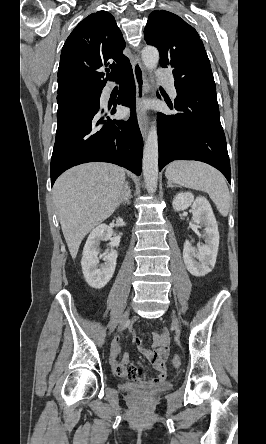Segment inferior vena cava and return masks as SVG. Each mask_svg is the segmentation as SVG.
<instances>
[{
	"mask_svg": "<svg viewBox=\"0 0 266 444\" xmlns=\"http://www.w3.org/2000/svg\"><path fill=\"white\" fill-rule=\"evenodd\" d=\"M127 183L125 184V186H124V191L123 192H127L128 191V189H127ZM129 188V187H128ZM130 190V189H129Z\"/></svg>",
	"mask_w": 266,
	"mask_h": 444,
	"instance_id": "obj_1",
	"label": "inferior vena cava"
}]
</instances>
